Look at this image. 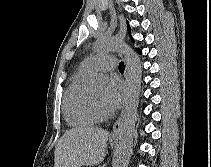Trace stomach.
I'll list each match as a JSON object with an SVG mask.
<instances>
[{
	"instance_id": "0dacf381",
	"label": "stomach",
	"mask_w": 211,
	"mask_h": 167,
	"mask_svg": "<svg viewBox=\"0 0 211 167\" xmlns=\"http://www.w3.org/2000/svg\"><path fill=\"white\" fill-rule=\"evenodd\" d=\"M115 144L111 142V146H114Z\"/></svg>"
}]
</instances>
